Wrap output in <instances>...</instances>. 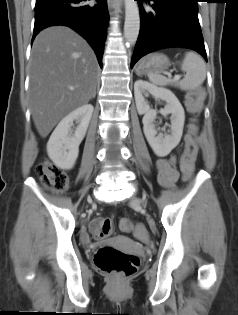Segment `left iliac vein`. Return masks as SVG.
Masks as SVG:
<instances>
[{
	"label": "left iliac vein",
	"mask_w": 238,
	"mask_h": 315,
	"mask_svg": "<svg viewBox=\"0 0 238 315\" xmlns=\"http://www.w3.org/2000/svg\"><path fill=\"white\" fill-rule=\"evenodd\" d=\"M141 202H142V200L137 199V198H134V199L131 200V205L137 206V205H139Z\"/></svg>",
	"instance_id": "left-iliac-vein-1"
}]
</instances>
